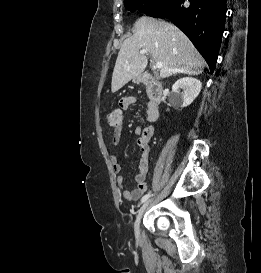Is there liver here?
I'll list each match as a JSON object with an SVG mask.
<instances>
[{"instance_id": "6515ba94", "label": "liver", "mask_w": 261, "mask_h": 273, "mask_svg": "<svg viewBox=\"0 0 261 273\" xmlns=\"http://www.w3.org/2000/svg\"><path fill=\"white\" fill-rule=\"evenodd\" d=\"M142 49H148L162 63L160 77L173 74L199 75L204 60L188 37L176 26L143 16L134 25L133 35L126 39L118 53L112 75L111 91L117 92L130 80L139 77L148 64Z\"/></svg>"}]
</instances>
